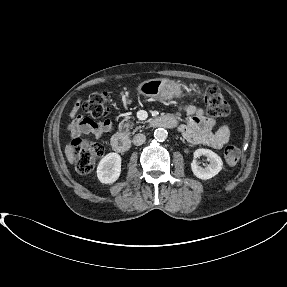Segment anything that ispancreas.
Here are the masks:
<instances>
[{
    "label": "pancreas",
    "instance_id": "cf45deb5",
    "mask_svg": "<svg viewBox=\"0 0 287 287\" xmlns=\"http://www.w3.org/2000/svg\"><path fill=\"white\" fill-rule=\"evenodd\" d=\"M133 125L134 124L131 122H126V123H123L120 127L121 129H126V131H128L129 129H132ZM138 129H141V126L136 127V129L133 132H136ZM128 134L130 133L128 132Z\"/></svg>",
    "mask_w": 287,
    "mask_h": 287
}]
</instances>
